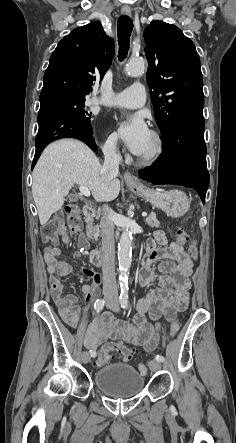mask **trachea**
I'll return each mask as SVG.
<instances>
[{
  "mask_svg": "<svg viewBox=\"0 0 236 443\" xmlns=\"http://www.w3.org/2000/svg\"><path fill=\"white\" fill-rule=\"evenodd\" d=\"M133 29V21L127 15L119 17L117 22V35L119 43L118 58L123 61L128 54L130 48V36Z\"/></svg>",
  "mask_w": 236,
  "mask_h": 443,
  "instance_id": "3493384b",
  "label": "trachea"
}]
</instances>
